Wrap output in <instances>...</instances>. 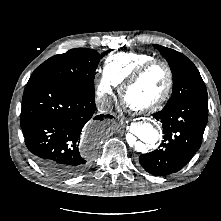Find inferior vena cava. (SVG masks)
Masks as SVG:
<instances>
[{
    "label": "inferior vena cava",
    "mask_w": 221,
    "mask_h": 221,
    "mask_svg": "<svg viewBox=\"0 0 221 221\" xmlns=\"http://www.w3.org/2000/svg\"><path fill=\"white\" fill-rule=\"evenodd\" d=\"M97 109L101 113H107L112 109V101L107 97L98 98L96 100Z\"/></svg>",
    "instance_id": "602c4592"
}]
</instances>
